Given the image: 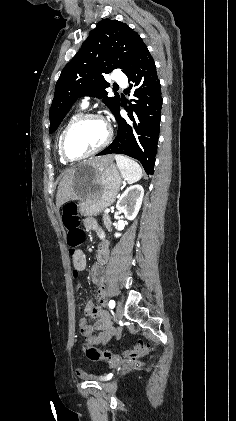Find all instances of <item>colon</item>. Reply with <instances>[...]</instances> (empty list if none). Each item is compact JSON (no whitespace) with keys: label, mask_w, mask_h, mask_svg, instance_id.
I'll use <instances>...</instances> for the list:
<instances>
[{"label":"colon","mask_w":236,"mask_h":421,"mask_svg":"<svg viewBox=\"0 0 236 421\" xmlns=\"http://www.w3.org/2000/svg\"><path fill=\"white\" fill-rule=\"evenodd\" d=\"M61 219L63 226L67 230V243L71 249L72 257L78 261V249L84 242V232L79 227V217L77 205L75 203H66L63 207ZM83 350L88 359L92 361L107 360L111 358V352L85 344ZM151 348L149 344L138 343L131 350H126L123 354L128 359H137L149 354Z\"/></svg>","instance_id":"obj_1"}]
</instances>
